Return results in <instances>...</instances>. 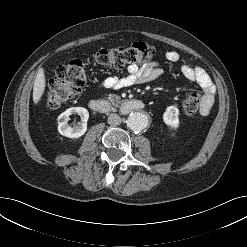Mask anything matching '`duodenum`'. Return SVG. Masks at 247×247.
I'll list each match as a JSON object with an SVG mask.
<instances>
[{
    "instance_id": "410a0bca",
    "label": "duodenum",
    "mask_w": 247,
    "mask_h": 247,
    "mask_svg": "<svg viewBox=\"0 0 247 247\" xmlns=\"http://www.w3.org/2000/svg\"><path fill=\"white\" fill-rule=\"evenodd\" d=\"M90 106L92 109L100 113H112L118 111L122 114H129L131 112L142 110L144 108V103L138 99H127L119 106H116L109 100L93 99L90 102Z\"/></svg>"
}]
</instances>
